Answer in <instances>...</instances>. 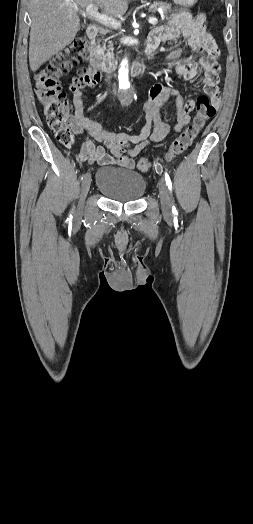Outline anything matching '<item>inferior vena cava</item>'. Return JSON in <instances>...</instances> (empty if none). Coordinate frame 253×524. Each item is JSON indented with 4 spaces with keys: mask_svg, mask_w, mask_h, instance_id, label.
<instances>
[{
    "mask_svg": "<svg viewBox=\"0 0 253 524\" xmlns=\"http://www.w3.org/2000/svg\"><path fill=\"white\" fill-rule=\"evenodd\" d=\"M110 79H111V77H110V76H107L106 81H107V82H110Z\"/></svg>",
    "mask_w": 253,
    "mask_h": 524,
    "instance_id": "602c4592",
    "label": "inferior vena cava"
}]
</instances>
